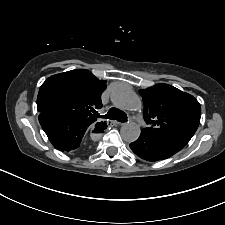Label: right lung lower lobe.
Instances as JSON below:
<instances>
[{
  "label": "right lung lower lobe",
  "mask_w": 225,
  "mask_h": 225,
  "mask_svg": "<svg viewBox=\"0 0 225 225\" xmlns=\"http://www.w3.org/2000/svg\"><path fill=\"white\" fill-rule=\"evenodd\" d=\"M39 122L53 146L70 153H82L86 150L84 135L94 128V125L81 119L51 112H41ZM95 130L96 127L93 132ZM98 132H102V129Z\"/></svg>",
  "instance_id": "obj_1"
}]
</instances>
